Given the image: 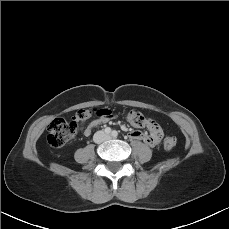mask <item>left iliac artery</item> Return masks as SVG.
I'll list each match as a JSON object with an SVG mask.
<instances>
[{"label":"left iliac artery","instance_id":"left-iliac-artery-1","mask_svg":"<svg viewBox=\"0 0 229 229\" xmlns=\"http://www.w3.org/2000/svg\"><path fill=\"white\" fill-rule=\"evenodd\" d=\"M112 136H113V137H117V136H118V132H117L116 130H113V131H112Z\"/></svg>","mask_w":229,"mask_h":229}]
</instances>
